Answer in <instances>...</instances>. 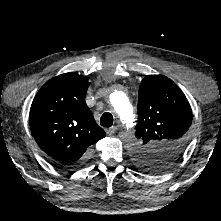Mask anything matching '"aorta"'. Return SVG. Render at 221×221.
Masks as SVG:
<instances>
[{
  "label": "aorta",
  "mask_w": 221,
  "mask_h": 221,
  "mask_svg": "<svg viewBox=\"0 0 221 221\" xmlns=\"http://www.w3.org/2000/svg\"><path fill=\"white\" fill-rule=\"evenodd\" d=\"M110 100L125 130L130 133L135 125L136 117L129 98L124 92L115 91L111 94Z\"/></svg>",
  "instance_id": "1"
}]
</instances>
